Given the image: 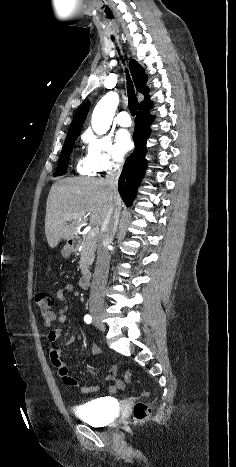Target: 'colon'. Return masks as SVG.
I'll return each mask as SVG.
<instances>
[{
    "instance_id": "5ec220e1",
    "label": "colon",
    "mask_w": 236,
    "mask_h": 467,
    "mask_svg": "<svg viewBox=\"0 0 236 467\" xmlns=\"http://www.w3.org/2000/svg\"><path fill=\"white\" fill-rule=\"evenodd\" d=\"M35 301L37 304V308L41 313H48L50 309L53 307V299L51 296L44 292L39 291L35 295ZM135 371L130 369L127 370L125 373V380L127 382L130 381L131 377L134 375ZM151 414V408L147 403L144 402H137L134 404L132 409L133 419L136 422H143L148 416Z\"/></svg>"
}]
</instances>
